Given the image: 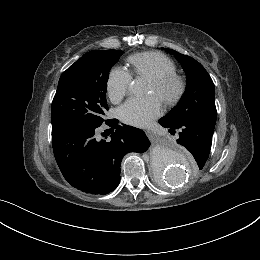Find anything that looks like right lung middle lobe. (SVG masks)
Instances as JSON below:
<instances>
[{"label":"right lung middle lobe","instance_id":"dd1d6c3e","mask_svg":"<svg viewBox=\"0 0 260 260\" xmlns=\"http://www.w3.org/2000/svg\"><path fill=\"white\" fill-rule=\"evenodd\" d=\"M122 53L90 51L63 72L51 107L52 131L104 122L109 71Z\"/></svg>","mask_w":260,"mask_h":260}]
</instances>
